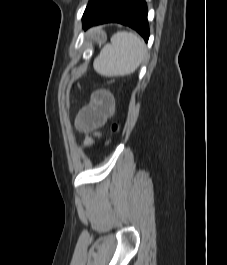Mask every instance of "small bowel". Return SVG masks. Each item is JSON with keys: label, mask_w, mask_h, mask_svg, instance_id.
Instances as JSON below:
<instances>
[{"label": "small bowel", "mask_w": 227, "mask_h": 265, "mask_svg": "<svg viewBox=\"0 0 227 265\" xmlns=\"http://www.w3.org/2000/svg\"><path fill=\"white\" fill-rule=\"evenodd\" d=\"M114 111V99L106 90L96 91L91 102L79 114V125L86 129L102 127Z\"/></svg>", "instance_id": "obj_1"}]
</instances>
